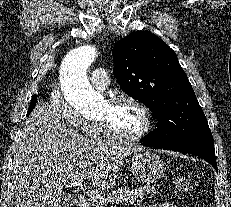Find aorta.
<instances>
[{"instance_id": "obj_1", "label": "aorta", "mask_w": 231, "mask_h": 207, "mask_svg": "<svg viewBox=\"0 0 231 207\" xmlns=\"http://www.w3.org/2000/svg\"><path fill=\"white\" fill-rule=\"evenodd\" d=\"M97 55L92 45L72 49L60 67V84L65 100L80 112L89 113L102 101L103 96L89 83L86 72Z\"/></svg>"}]
</instances>
